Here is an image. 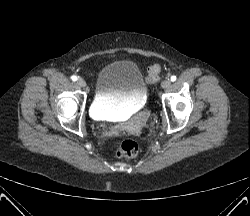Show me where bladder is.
<instances>
[{
  "label": "bladder",
  "mask_w": 250,
  "mask_h": 216,
  "mask_svg": "<svg viewBox=\"0 0 250 216\" xmlns=\"http://www.w3.org/2000/svg\"><path fill=\"white\" fill-rule=\"evenodd\" d=\"M146 102L147 86L136 63L118 60L100 69L91 104L95 117H120L143 108Z\"/></svg>",
  "instance_id": "1"
}]
</instances>
